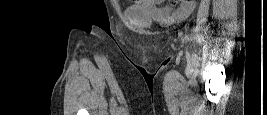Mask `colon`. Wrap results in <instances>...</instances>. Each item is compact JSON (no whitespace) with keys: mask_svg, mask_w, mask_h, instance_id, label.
<instances>
[{"mask_svg":"<svg viewBox=\"0 0 267 115\" xmlns=\"http://www.w3.org/2000/svg\"><path fill=\"white\" fill-rule=\"evenodd\" d=\"M190 2H192V0H172L171 1V3H172V5H176V4H178V3H181V4H187V3H190Z\"/></svg>","mask_w":267,"mask_h":115,"instance_id":"1","label":"colon"}]
</instances>
